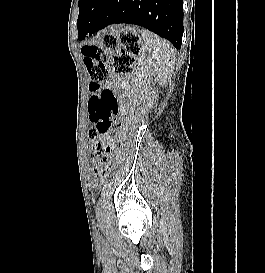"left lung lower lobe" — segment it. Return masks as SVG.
Segmentation results:
<instances>
[{
    "label": "left lung lower lobe",
    "mask_w": 265,
    "mask_h": 273,
    "mask_svg": "<svg viewBox=\"0 0 265 273\" xmlns=\"http://www.w3.org/2000/svg\"><path fill=\"white\" fill-rule=\"evenodd\" d=\"M115 23L143 26L177 49L183 35V0H103L82 19L79 39Z\"/></svg>",
    "instance_id": "0a47b994"
}]
</instances>
